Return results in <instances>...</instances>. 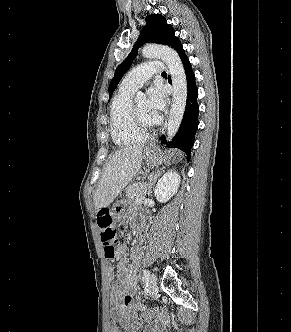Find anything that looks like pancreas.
Returning a JSON list of instances; mask_svg holds the SVG:
<instances>
[{
  "mask_svg": "<svg viewBox=\"0 0 291 332\" xmlns=\"http://www.w3.org/2000/svg\"><path fill=\"white\" fill-rule=\"evenodd\" d=\"M147 193L146 183H135L127 187L126 196L130 201H136L139 198H144Z\"/></svg>",
  "mask_w": 291,
  "mask_h": 332,
  "instance_id": "1",
  "label": "pancreas"
}]
</instances>
